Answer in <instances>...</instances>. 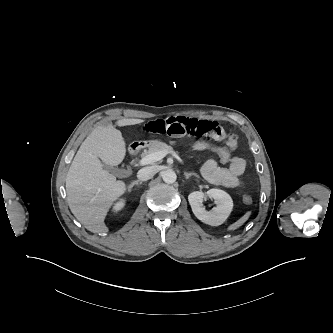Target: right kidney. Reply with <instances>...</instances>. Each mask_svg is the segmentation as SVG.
Listing matches in <instances>:
<instances>
[{"label":"right kidney","mask_w":333,"mask_h":333,"mask_svg":"<svg viewBox=\"0 0 333 333\" xmlns=\"http://www.w3.org/2000/svg\"><path fill=\"white\" fill-rule=\"evenodd\" d=\"M123 206H124V202L121 201V202L117 203V204L114 206V210L117 212V211L121 210V209L123 208Z\"/></svg>","instance_id":"1"}]
</instances>
